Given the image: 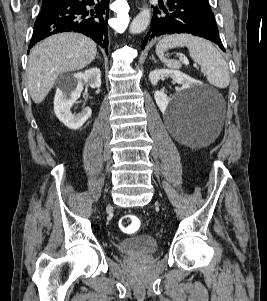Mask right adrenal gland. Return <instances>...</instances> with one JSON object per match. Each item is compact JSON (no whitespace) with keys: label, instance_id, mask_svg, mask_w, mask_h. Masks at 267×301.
<instances>
[{"label":"right adrenal gland","instance_id":"right-adrenal-gland-1","mask_svg":"<svg viewBox=\"0 0 267 301\" xmlns=\"http://www.w3.org/2000/svg\"><path fill=\"white\" fill-rule=\"evenodd\" d=\"M96 58L101 59V57L97 54Z\"/></svg>","mask_w":267,"mask_h":301}]
</instances>
